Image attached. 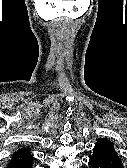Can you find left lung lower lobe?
Returning a JSON list of instances; mask_svg holds the SVG:
<instances>
[{"label":"left lung lower lobe","mask_w":127,"mask_h":168,"mask_svg":"<svg viewBox=\"0 0 127 168\" xmlns=\"http://www.w3.org/2000/svg\"><path fill=\"white\" fill-rule=\"evenodd\" d=\"M89 165L93 168H124L113 143L105 138L99 139L94 146Z\"/></svg>","instance_id":"0a47b994"}]
</instances>
